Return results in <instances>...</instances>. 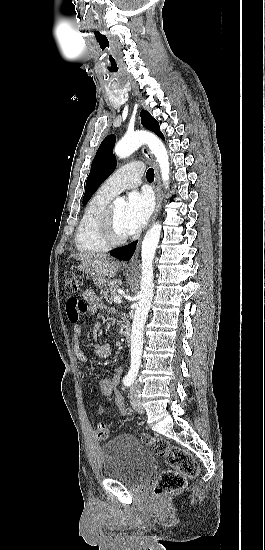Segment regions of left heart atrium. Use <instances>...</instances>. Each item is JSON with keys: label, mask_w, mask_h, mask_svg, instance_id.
<instances>
[{"label": "left heart atrium", "mask_w": 265, "mask_h": 550, "mask_svg": "<svg viewBox=\"0 0 265 550\" xmlns=\"http://www.w3.org/2000/svg\"><path fill=\"white\" fill-rule=\"evenodd\" d=\"M153 210V201L146 192H132L125 208V225L129 234L145 226Z\"/></svg>", "instance_id": "obj_1"}]
</instances>
